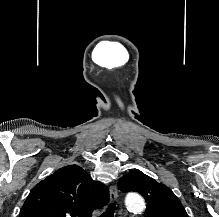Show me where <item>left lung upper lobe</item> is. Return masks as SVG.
Listing matches in <instances>:
<instances>
[{"label": "left lung upper lobe", "mask_w": 219, "mask_h": 217, "mask_svg": "<svg viewBox=\"0 0 219 217\" xmlns=\"http://www.w3.org/2000/svg\"><path fill=\"white\" fill-rule=\"evenodd\" d=\"M118 186L123 192L136 191L145 198L144 217H188L171 189L139 170H132L120 178Z\"/></svg>", "instance_id": "1"}]
</instances>
